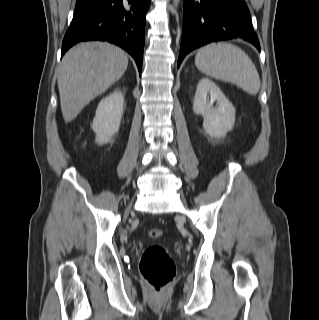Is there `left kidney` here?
Instances as JSON below:
<instances>
[{"label": "left kidney", "mask_w": 319, "mask_h": 320, "mask_svg": "<svg viewBox=\"0 0 319 320\" xmlns=\"http://www.w3.org/2000/svg\"><path fill=\"white\" fill-rule=\"evenodd\" d=\"M215 101L217 106L213 107ZM193 111L203 116V128L213 138L224 137L235 123V108L221 89L208 78H202L197 85Z\"/></svg>", "instance_id": "left-kidney-1"}]
</instances>
